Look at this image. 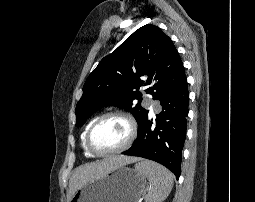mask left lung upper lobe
<instances>
[{"instance_id": "1", "label": "left lung upper lobe", "mask_w": 255, "mask_h": 202, "mask_svg": "<svg viewBox=\"0 0 255 202\" xmlns=\"http://www.w3.org/2000/svg\"><path fill=\"white\" fill-rule=\"evenodd\" d=\"M184 77L172 40L157 26L145 25L104 57L89 75L76 105V126H82L98 109L113 105L132 113L140 129L148 116L140 105V87H146L144 91L158 100Z\"/></svg>"}]
</instances>
